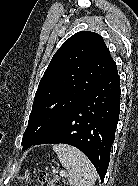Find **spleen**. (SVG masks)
Segmentation results:
<instances>
[{"mask_svg":"<svg viewBox=\"0 0 138 186\" xmlns=\"http://www.w3.org/2000/svg\"><path fill=\"white\" fill-rule=\"evenodd\" d=\"M58 158L68 171V181L72 186H93L97 172L90 160L77 148L58 144L53 146Z\"/></svg>","mask_w":138,"mask_h":186,"instance_id":"3e777b00","label":"spleen"}]
</instances>
